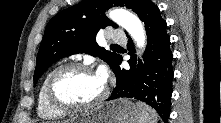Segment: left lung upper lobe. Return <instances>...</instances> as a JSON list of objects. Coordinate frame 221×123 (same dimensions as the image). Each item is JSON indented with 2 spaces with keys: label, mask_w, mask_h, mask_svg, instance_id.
<instances>
[{
  "label": "left lung upper lobe",
  "mask_w": 221,
  "mask_h": 123,
  "mask_svg": "<svg viewBox=\"0 0 221 123\" xmlns=\"http://www.w3.org/2000/svg\"><path fill=\"white\" fill-rule=\"evenodd\" d=\"M151 0H83L55 15L48 25L37 55L34 84L57 60L77 53L98 56L111 68L119 57L115 51H108L96 42L100 28L118 26L105 16L112 6H122L138 16Z\"/></svg>",
  "instance_id": "5c2ea615"
}]
</instances>
